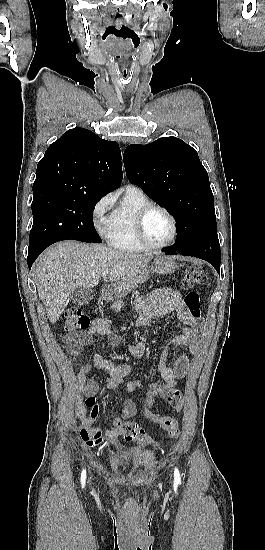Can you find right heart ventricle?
Returning a JSON list of instances; mask_svg holds the SVG:
<instances>
[{"label":"right heart ventricle","instance_id":"right-heart-ventricle-1","mask_svg":"<svg viewBox=\"0 0 265 550\" xmlns=\"http://www.w3.org/2000/svg\"><path fill=\"white\" fill-rule=\"evenodd\" d=\"M149 198L138 188L129 186L106 221L105 237L108 243L121 252H139L145 248L135 234L138 212L150 204Z\"/></svg>","mask_w":265,"mask_h":550}]
</instances>
